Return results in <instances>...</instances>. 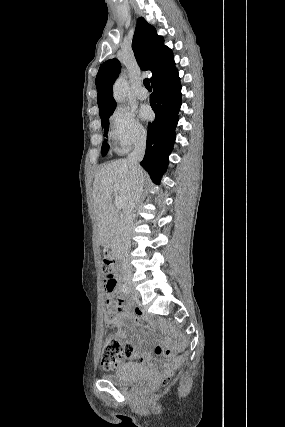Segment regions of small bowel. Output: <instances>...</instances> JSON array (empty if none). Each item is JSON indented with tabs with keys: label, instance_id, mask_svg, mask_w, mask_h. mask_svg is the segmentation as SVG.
<instances>
[{
	"label": "small bowel",
	"instance_id": "small-bowel-1",
	"mask_svg": "<svg viewBox=\"0 0 285 427\" xmlns=\"http://www.w3.org/2000/svg\"><path fill=\"white\" fill-rule=\"evenodd\" d=\"M120 294H122L121 289L119 290ZM146 317L144 315L135 313L131 314L127 309L122 311L119 315L117 325L119 328V336L121 338H132L134 337L133 330L138 327L142 321H144ZM139 344L144 343L142 340H137ZM186 345V341L184 339H179L176 341V345L174 347L175 351H180L184 346ZM155 352V350H154ZM147 353L140 352L138 349H134L130 355H127L125 357L130 359H136L139 362L148 365V357ZM181 360V355L176 354L174 355L169 361L164 363L163 366V372L165 374H169L172 372L173 369H175ZM122 359L119 361L121 362Z\"/></svg>",
	"mask_w": 285,
	"mask_h": 427
}]
</instances>
